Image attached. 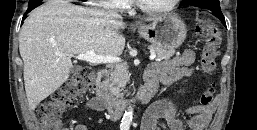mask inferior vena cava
<instances>
[{
  "label": "inferior vena cava",
  "mask_w": 257,
  "mask_h": 130,
  "mask_svg": "<svg viewBox=\"0 0 257 130\" xmlns=\"http://www.w3.org/2000/svg\"><path fill=\"white\" fill-rule=\"evenodd\" d=\"M106 14L110 18H115V19L120 18V16L114 10H109L106 12Z\"/></svg>",
  "instance_id": "1"
}]
</instances>
